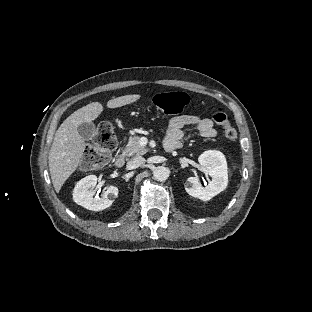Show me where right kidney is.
Listing matches in <instances>:
<instances>
[{
  "instance_id": "right-kidney-1",
  "label": "right kidney",
  "mask_w": 312,
  "mask_h": 312,
  "mask_svg": "<svg viewBox=\"0 0 312 312\" xmlns=\"http://www.w3.org/2000/svg\"><path fill=\"white\" fill-rule=\"evenodd\" d=\"M97 183L95 175H89L77 182L73 190V200L78 205L92 211H100L110 207L115 198L118 196V188L110 186L101 194V197L95 196L94 188Z\"/></svg>"
}]
</instances>
